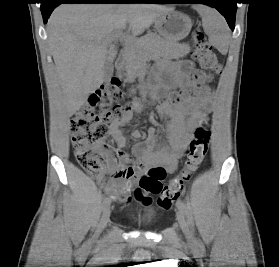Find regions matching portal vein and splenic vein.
Returning <instances> with one entry per match:
<instances>
[{"label":"portal vein and splenic vein","mask_w":279,"mask_h":267,"mask_svg":"<svg viewBox=\"0 0 279 267\" xmlns=\"http://www.w3.org/2000/svg\"><path fill=\"white\" fill-rule=\"evenodd\" d=\"M119 37H124L123 32H122L121 29L115 31V33H113V34L111 35V37H109V38L107 39V41H111V40L117 39V38H119Z\"/></svg>","instance_id":"portal-vein-and-splenic-vein-1"}]
</instances>
